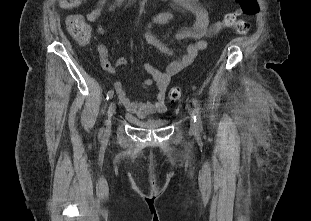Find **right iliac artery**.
<instances>
[{
	"label": "right iliac artery",
	"mask_w": 311,
	"mask_h": 221,
	"mask_svg": "<svg viewBox=\"0 0 311 221\" xmlns=\"http://www.w3.org/2000/svg\"><path fill=\"white\" fill-rule=\"evenodd\" d=\"M114 91L113 90H109L107 95H106V99L107 101L110 100L113 97Z\"/></svg>",
	"instance_id": "1"
}]
</instances>
